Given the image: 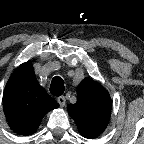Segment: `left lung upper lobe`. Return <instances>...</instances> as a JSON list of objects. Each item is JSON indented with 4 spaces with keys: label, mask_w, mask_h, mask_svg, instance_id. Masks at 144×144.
Segmentation results:
<instances>
[{
    "label": "left lung upper lobe",
    "mask_w": 144,
    "mask_h": 144,
    "mask_svg": "<svg viewBox=\"0 0 144 144\" xmlns=\"http://www.w3.org/2000/svg\"><path fill=\"white\" fill-rule=\"evenodd\" d=\"M77 94V102L68 105V113L82 136L95 138L109 124L112 108L110 95L103 86L88 77L78 86Z\"/></svg>",
    "instance_id": "5c2ea615"
}]
</instances>
